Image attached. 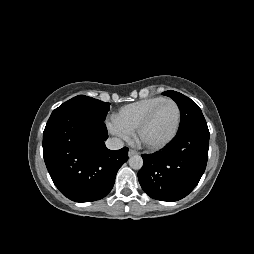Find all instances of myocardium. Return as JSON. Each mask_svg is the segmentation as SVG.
<instances>
[{"label":"myocardium","mask_w":254,"mask_h":254,"mask_svg":"<svg viewBox=\"0 0 254 254\" xmlns=\"http://www.w3.org/2000/svg\"><path fill=\"white\" fill-rule=\"evenodd\" d=\"M165 103H172L173 105H175V107L177 109V122H176L175 128H174L173 132L171 133V135L163 142L158 143V144H149L142 139L143 131L149 125V123L152 121L153 117L155 116V114L159 110V108ZM181 121H182V111H181L180 105L173 99L165 98L164 100L159 102L156 106H154L149 111V113L144 117V119L139 123L138 127L136 128V138L139 143H141L146 149H148L150 151L161 150V149L165 148L166 146H168L176 138V136L179 132L180 126H181Z\"/></svg>","instance_id":"obj_1"}]
</instances>
